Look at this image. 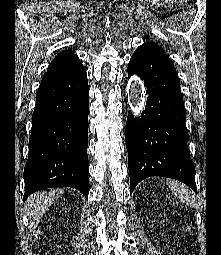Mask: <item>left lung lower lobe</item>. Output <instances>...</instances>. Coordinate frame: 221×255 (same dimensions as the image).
I'll return each mask as SVG.
<instances>
[{"instance_id":"left-lung-lower-lobe-1","label":"left lung lower lobe","mask_w":221,"mask_h":255,"mask_svg":"<svg viewBox=\"0 0 221 255\" xmlns=\"http://www.w3.org/2000/svg\"><path fill=\"white\" fill-rule=\"evenodd\" d=\"M133 74L144 81L148 97L144 115L134 118L129 112L126 123L131 192L150 176L179 180L197 192L175 68L164 54L139 46L128 65V75Z\"/></svg>"}]
</instances>
